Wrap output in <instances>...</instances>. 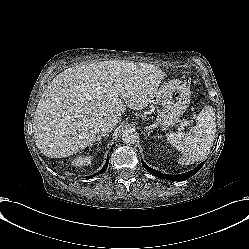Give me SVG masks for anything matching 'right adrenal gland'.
<instances>
[{"mask_svg": "<svg viewBox=\"0 0 249 249\" xmlns=\"http://www.w3.org/2000/svg\"><path fill=\"white\" fill-rule=\"evenodd\" d=\"M107 136V134H100L98 137H97V142L95 143V144H97V147H99V145L101 144V139H102V137H106Z\"/></svg>", "mask_w": 249, "mask_h": 249, "instance_id": "2a0ac1e0", "label": "right adrenal gland"}]
</instances>
